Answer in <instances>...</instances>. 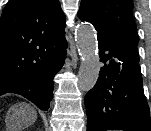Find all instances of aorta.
Masks as SVG:
<instances>
[{
  "mask_svg": "<svg viewBox=\"0 0 151 131\" xmlns=\"http://www.w3.org/2000/svg\"><path fill=\"white\" fill-rule=\"evenodd\" d=\"M76 44L81 57L78 87L87 92L95 86L100 71L97 35L90 24L81 23L78 26Z\"/></svg>",
  "mask_w": 151,
  "mask_h": 131,
  "instance_id": "aorta-1",
  "label": "aorta"
}]
</instances>
